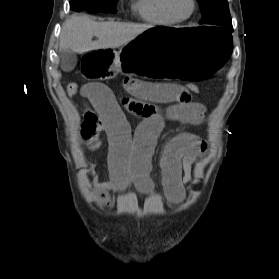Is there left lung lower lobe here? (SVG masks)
<instances>
[{
	"label": "left lung lower lobe",
	"mask_w": 279,
	"mask_h": 279,
	"mask_svg": "<svg viewBox=\"0 0 279 279\" xmlns=\"http://www.w3.org/2000/svg\"><path fill=\"white\" fill-rule=\"evenodd\" d=\"M224 28L228 29L229 31H233V27L232 24H227L226 26H224ZM226 29H223L225 31H227ZM228 32V31H227ZM229 33V32H228Z\"/></svg>",
	"instance_id": "obj_1"
}]
</instances>
